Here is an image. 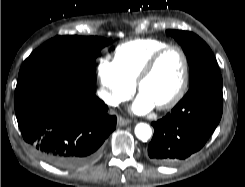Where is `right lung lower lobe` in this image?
Returning a JSON list of instances; mask_svg holds the SVG:
<instances>
[{
	"mask_svg": "<svg viewBox=\"0 0 245 187\" xmlns=\"http://www.w3.org/2000/svg\"><path fill=\"white\" fill-rule=\"evenodd\" d=\"M95 83L51 70L18 77L15 113L24 140L44 161L78 169L97 159L116 116L95 95Z\"/></svg>",
	"mask_w": 245,
	"mask_h": 187,
	"instance_id": "right-lung-lower-lobe-1",
	"label": "right lung lower lobe"
}]
</instances>
